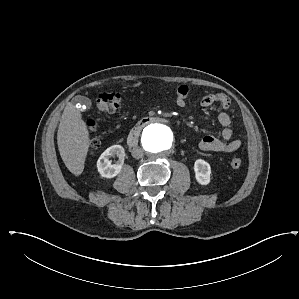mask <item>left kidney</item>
<instances>
[{"mask_svg":"<svg viewBox=\"0 0 299 299\" xmlns=\"http://www.w3.org/2000/svg\"><path fill=\"white\" fill-rule=\"evenodd\" d=\"M194 172L199 184L208 185L210 183L211 167L208 162L197 159L194 163Z\"/></svg>","mask_w":299,"mask_h":299,"instance_id":"5707ae66","label":"left kidney"}]
</instances>
